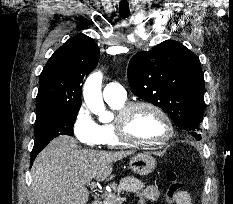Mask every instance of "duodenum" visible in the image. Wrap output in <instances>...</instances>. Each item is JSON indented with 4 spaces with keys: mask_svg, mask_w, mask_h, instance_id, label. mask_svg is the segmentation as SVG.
<instances>
[{
    "mask_svg": "<svg viewBox=\"0 0 233 204\" xmlns=\"http://www.w3.org/2000/svg\"><path fill=\"white\" fill-rule=\"evenodd\" d=\"M91 204H99V202H97V201H94V202H92Z\"/></svg>",
    "mask_w": 233,
    "mask_h": 204,
    "instance_id": "duodenum-1",
    "label": "duodenum"
}]
</instances>
